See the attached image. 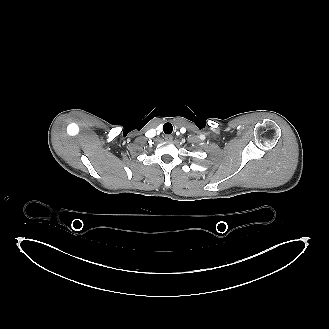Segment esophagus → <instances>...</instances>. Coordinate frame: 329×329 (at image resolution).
I'll use <instances>...</instances> for the list:
<instances>
[{
  "label": "esophagus",
  "instance_id": "obj_1",
  "mask_svg": "<svg viewBox=\"0 0 329 329\" xmlns=\"http://www.w3.org/2000/svg\"><path fill=\"white\" fill-rule=\"evenodd\" d=\"M164 139H165L166 141H172L173 136H172V135H165Z\"/></svg>",
  "mask_w": 329,
  "mask_h": 329
}]
</instances>
